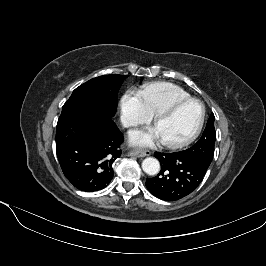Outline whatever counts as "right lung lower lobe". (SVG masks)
I'll return each instance as SVG.
<instances>
[{"label": "right lung lower lobe", "mask_w": 266, "mask_h": 266, "mask_svg": "<svg viewBox=\"0 0 266 266\" xmlns=\"http://www.w3.org/2000/svg\"><path fill=\"white\" fill-rule=\"evenodd\" d=\"M124 137L110 116L66 111L56 130V153L65 177L86 192L105 188Z\"/></svg>", "instance_id": "98d812e1"}]
</instances>
